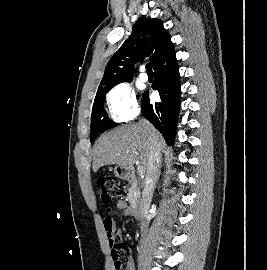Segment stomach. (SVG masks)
Here are the masks:
<instances>
[{
  "instance_id": "stomach-1",
  "label": "stomach",
  "mask_w": 267,
  "mask_h": 270,
  "mask_svg": "<svg viewBox=\"0 0 267 270\" xmlns=\"http://www.w3.org/2000/svg\"><path fill=\"white\" fill-rule=\"evenodd\" d=\"M114 174L120 179H128L130 176V169L117 165L114 168Z\"/></svg>"
}]
</instances>
